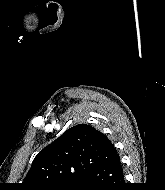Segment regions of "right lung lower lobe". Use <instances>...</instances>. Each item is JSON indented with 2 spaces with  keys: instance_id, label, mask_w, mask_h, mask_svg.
Listing matches in <instances>:
<instances>
[{
  "instance_id": "right-lung-lower-lobe-1",
  "label": "right lung lower lobe",
  "mask_w": 165,
  "mask_h": 190,
  "mask_svg": "<svg viewBox=\"0 0 165 190\" xmlns=\"http://www.w3.org/2000/svg\"><path fill=\"white\" fill-rule=\"evenodd\" d=\"M81 181L80 190H124V175L118 154L88 170Z\"/></svg>"
}]
</instances>
